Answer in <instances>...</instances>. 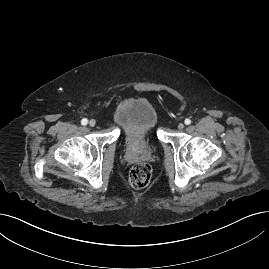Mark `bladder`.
Returning <instances> with one entry per match:
<instances>
[{
    "instance_id": "31cf9c89",
    "label": "bladder",
    "mask_w": 269,
    "mask_h": 269,
    "mask_svg": "<svg viewBox=\"0 0 269 269\" xmlns=\"http://www.w3.org/2000/svg\"><path fill=\"white\" fill-rule=\"evenodd\" d=\"M115 121L126 144L151 136L157 126L158 116L153 105L144 98L125 101L115 111Z\"/></svg>"
}]
</instances>
